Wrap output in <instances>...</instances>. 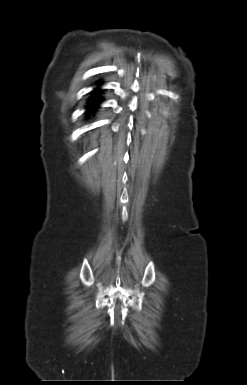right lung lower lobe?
<instances>
[{"label": "right lung lower lobe", "mask_w": 247, "mask_h": 385, "mask_svg": "<svg viewBox=\"0 0 247 385\" xmlns=\"http://www.w3.org/2000/svg\"><path fill=\"white\" fill-rule=\"evenodd\" d=\"M101 82L98 83V85H100ZM99 92H100V89H96L92 92V95H91V98L89 99V105L86 107L87 108V115H89V113H93L97 107H98V104H100L102 102V97L101 95H99Z\"/></svg>", "instance_id": "obj_1"}]
</instances>
